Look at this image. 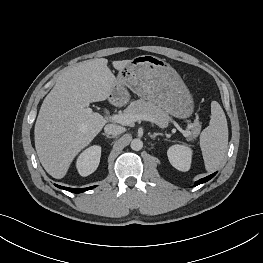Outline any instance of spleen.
<instances>
[{
  "instance_id": "3e777b00",
  "label": "spleen",
  "mask_w": 263,
  "mask_h": 263,
  "mask_svg": "<svg viewBox=\"0 0 263 263\" xmlns=\"http://www.w3.org/2000/svg\"><path fill=\"white\" fill-rule=\"evenodd\" d=\"M228 147V126L225 113L217 101L211 102V120L200 135L205 169L213 172L222 163Z\"/></svg>"
}]
</instances>
